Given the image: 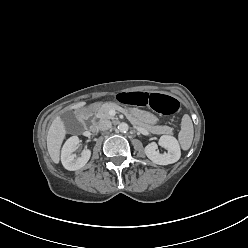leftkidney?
Instances as JSON below:
<instances>
[{"label":"left kidney","instance_id":"obj_1","mask_svg":"<svg viewBox=\"0 0 248 248\" xmlns=\"http://www.w3.org/2000/svg\"><path fill=\"white\" fill-rule=\"evenodd\" d=\"M158 144L165 148L167 152L160 154L157 150L158 145L155 142H151L145 147V154L152 162L159 165H168L180 159V146L175 137L163 135L160 137Z\"/></svg>","mask_w":248,"mask_h":248}]
</instances>
